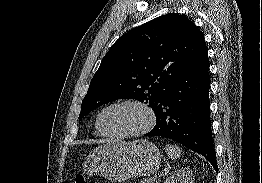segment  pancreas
<instances>
[{"label":"pancreas","instance_id":"1","mask_svg":"<svg viewBox=\"0 0 262 183\" xmlns=\"http://www.w3.org/2000/svg\"><path fill=\"white\" fill-rule=\"evenodd\" d=\"M140 183H152L151 180H143Z\"/></svg>","mask_w":262,"mask_h":183}]
</instances>
